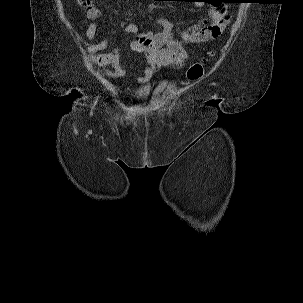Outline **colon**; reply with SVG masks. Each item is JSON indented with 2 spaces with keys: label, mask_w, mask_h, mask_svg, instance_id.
<instances>
[{
  "label": "colon",
  "mask_w": 303,
  "mask_h": 303,
  "mask_svg": "<svg viewBox=\"0 0 303 303\" xmlns=\"http://www.w3.org/2000/svg\"><path fill=\"white\" fill-rule=\"evenodd\" d=\"M94 2V0H78V3L81 6L87 7L92 5ZM216 38V37H214ZM204 74V63L200 62V63H195L193 64L187 71V77L190 80H197L199 78H201Z\"/></svg>",
  "instance_id": "colon-1"
}]
</instances>
